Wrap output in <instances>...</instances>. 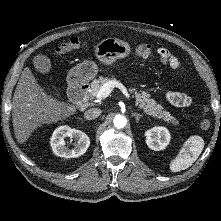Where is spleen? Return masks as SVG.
Masks as SVG:
<instances>
[{"mask_svg":"<svg viewBox=\"0 0 221 221\" xmlns=\"http://www.w3.org/2000/svg\"><path fill=\"white\" fill-rule=\"evenodd\" d=\"M204 148V140L197 135L191 136L185 143L179 154L170 163L172 172H179L190 167L201 154Z\"/></svg>","mask_w":221,"mask_h":221,"instance_id":"obj_1","label":"spleen"}]
</instances>
